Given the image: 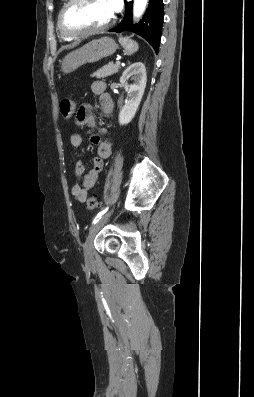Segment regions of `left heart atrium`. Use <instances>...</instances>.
<instances>
[{"label": "left heart atrium", "instance_id": "1", "mask_svg": "<svg viewBox=\"0 0 254 397\" xmlns=\"http://www.w3.org/2000/svg\"><path fill=\"white\" fill-rule=\"evenodd\" d=\"M109 11L114 14L121 9V0H105Z\"/></svg>", "mask_w": 254, "mask_h": 397}]
</instances>
